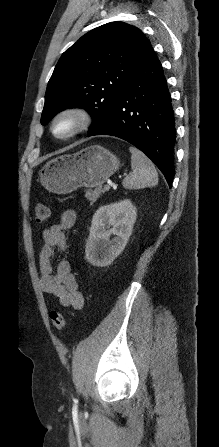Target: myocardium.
I'll return each instance as SVG.
<instances>
[{
  "label": "myocardium",
  "instance_id": "obj_1",
  "mask_svg": "<svg viewBox=\"0 0 219 447\" xmlns=\"http://www.w3.org/2000/svg\"><path fill=\"white\" fill-rule=\"evenodd\" d=\"M71 122L70 128L64 133H57L55 127L58 122ZM93 123L91 113L82 107H68L56 113L50 121L49 131L57 139H70L86 131Z\"/></svg>",
  "mask_w": 219,
  "mask_h": 447
}]
</instances>
